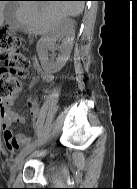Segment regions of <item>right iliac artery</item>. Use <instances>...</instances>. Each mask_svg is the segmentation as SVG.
<instances>
[{"label": "right iliac artery", "mask_w": 137, "mask_h": 189, "mask_svg": "<svg viewBox=\"0 0 137 189\" xmlns=\"http://www.w3.org/2000/svg\"><path fill=\"white\" fill-rule=\"evenodd\" d=\"M30 140L25 144V148L29 146Z\"/></svg>", "instance_id": "82829eb1"}]
</instances>
